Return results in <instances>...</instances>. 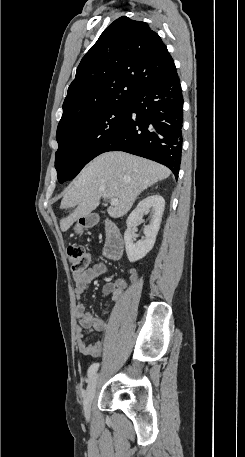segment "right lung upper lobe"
<instances>
[{
  "label": "right lung upper lobe",
  "mask_w": 245,
  "mask_h": 457,
  "mask_svg": "<svg viewBox=\"0 0 245 457\" xmlns=\"http://www.w3.org/2000/svg\"><path fill=\"white\" fill-rule=\"evenodd\" d=\"M175 70L159 35L145 22L122 16L81 60L58 126L111 102L131 100L147 82Z\"/></svg>",
  "instance_id": "right-lung-upper-lobe-1"
}]
</instances>
